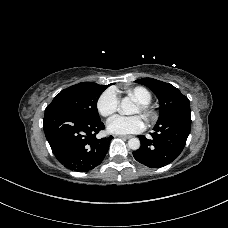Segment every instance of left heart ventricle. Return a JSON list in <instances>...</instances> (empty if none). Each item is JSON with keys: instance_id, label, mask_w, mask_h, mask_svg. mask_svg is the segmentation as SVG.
<instances>
[{"instance_id": "1", "label": "left heart ventricle", "mask_w": 228, "mask_h": 228, "mask_svg": "<svg viewBox=\"0 0 228 228\" xmlns=\"http://www.w3.org/2000/svg\"><path fill=\"white\" fill-rule=\"evenodd\" d=\"M132 114L141 115L140 110H139V108L136 105L134 106V108L132 110Z\"/></svg>"}]
</instances>
